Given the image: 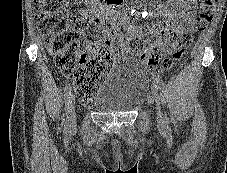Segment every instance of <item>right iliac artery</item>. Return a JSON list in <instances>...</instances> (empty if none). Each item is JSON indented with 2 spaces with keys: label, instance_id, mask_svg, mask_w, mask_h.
I'll return each instance as SVG.
<instances>
[{
  "label": "right iliac artery",
  "instance_id": "1",
  "mask_svg": "<svg viewBox=\"0 0 227 173\" xmlns=\"http://www.w3.org/2000/svg\"><path fill=\"white\" fill-rule=\"evenodd\" d=\"M71 90L72 89L70 84H67L64 89L65 116H66L65 129H68V126H69L68 112H69V100L71 96Z\"/></svg>",
  "mask_w": 227,
  "mask_h": 173
}]
</instances>
